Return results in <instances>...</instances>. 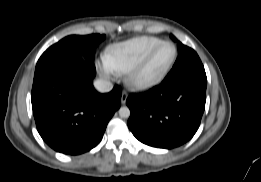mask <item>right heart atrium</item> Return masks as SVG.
Masks as SVG:
<instances>
[{
	"label": "right heart atrium",
	"instance_id": "right-heart-atrium-1",
	"mask_svg": "<svg viewBox=\"0 0 261 182\" xmlns=\"http://www.w3.org/2000/svg\"><path fill=\"white\" fill-rule=\"evenodd\" d=\"M98 67L104 77H111L113 74V69L108 63L106 58H102L98 61Z\"/></svg>",
	"mask_w": 261,
	"mask_h": 182
}]
</instances>
